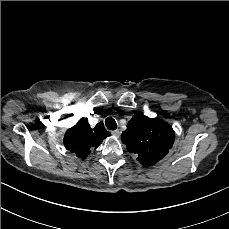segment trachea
Returning a JSON list of instances; mask_svg holds the SVG:
<instances>
[{"label": "trachea", "mask_w": 229, "mask_h": 229, "mask_svg": "<svg viewBox=\"0 0 229 229\" xmlns=\"http://www.w3.org/2000/svg\"><path fill=\"white\" fill-rule=\"evenodd\" d=\"M105 125L109 130H115L117 128L116 121L112 117L106 118Z\"/></svg>", "instance_id": "1"}]
</instances>
